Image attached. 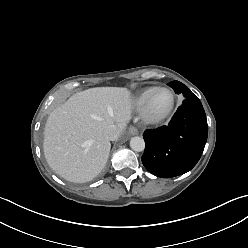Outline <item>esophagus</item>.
Listing matches in <instances>:
<instances>
[{"label":"esophagus","instance_id":"1","mask_svg":"<svg viewBox=\"0 0 248 248\" xmlns=\"http://www.w3.org/2000/svg\"><path fill=\"white\" fill-rule=\"evenodd\" d=\"M128 131H129V133L131 135H138L139 134L138 129L136 127H134V126H130L129 129H128Z\"/></svg>","mask_w":248,"mask_h":248}]
</instances>
